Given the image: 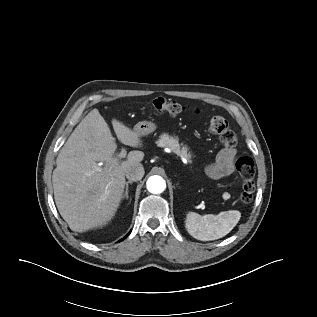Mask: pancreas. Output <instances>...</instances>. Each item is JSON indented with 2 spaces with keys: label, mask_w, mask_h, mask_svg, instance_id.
I'll list each match as a JSON object with an SVG mask.
<instances>
[{
  "label": "pancreas",
  "mask_w": 317,
  "mask_h": 317,
  "mask_svg": "<svg viewBox=\"0 0 317 317\" xmlns=\"http://www.w3.org/2000/svg\"><path fill=\"white\" fill-rule=\"evenodd\" d=\"M159 147H168L172 152L177 154L180 157L186 158L188 160L191 159V154L188 152V148L186 146L180 147L178 143V138H174L169 136L168 134H163L159 141L157 142Z\"/></svg>",
  "instance_id": "1"
}]
</instances>
